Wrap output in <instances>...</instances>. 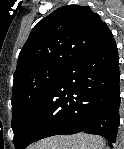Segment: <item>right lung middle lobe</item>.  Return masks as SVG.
Here are the masks:
<instances>
[{
	"label": "right lung middle lobe",
	"instance_id": "dd1d6c3e",
	"mask_svg": "<svg viewBox=\"0 0 124 149\" xmlns=\"http://www.w3.org/2000/svg\"><path fill=\"white\" fill-rule=\"evenodd\" d=\"M62 69L42 66L23 74L14 81L11 98L14 145L18 144L46 92Z\"/></svg>",
	"mask_w": 124,
	"mask_h": 149
}]
</instances>
